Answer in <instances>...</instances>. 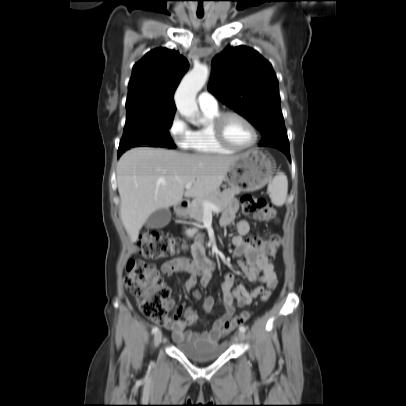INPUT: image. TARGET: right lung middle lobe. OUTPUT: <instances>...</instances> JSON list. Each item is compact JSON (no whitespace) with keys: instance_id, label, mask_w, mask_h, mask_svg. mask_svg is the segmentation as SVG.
I'll use <instances>...</instances> for the list:
<instances>
[{"instance_id":"right-lung-middle-lobe-1","label":"right lung middle lobe","mask_w":406,"mask_h":406,"mask_svg":"<svg viewBox=\"0 0 406 406\" xmlns=\"http://www.w3.org/2000/svg\"><path fill=\"white\" fill-rule=\"evenodd\" d=\"M174 113L152 110L127 111L124 134L120 141L118 154L140 145L175 148L176 146L168 132L172 125Z\"/></svg>"}]
</instances>
